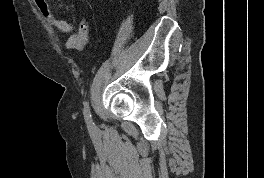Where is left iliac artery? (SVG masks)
Instances as JSON below:
<instances>
[{"instance_id": "1", "label": "left iliac artery", "mask_w": 264, "mask_h": 178, "mask_svg": "<svg viewBox=\"0 0 264 178\" xmlns=\"http://www.w3.org/2000/svg\"><path fill=\"white\" fill-rule=\"evenodd\" d=\"M83 114H84V118L86 121H91V112H90V106H89V102L85 101L84 102V109H83Z\"/></svg>"}]
</instances>
